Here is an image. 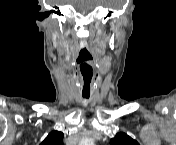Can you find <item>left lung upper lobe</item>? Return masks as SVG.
Segmentation results:
<instances>
[{"label": "left lung upper lobe", "instance_id": "left-lung-upper-lobe-1", "mask_svg": "<svg viewBox=\"0 0 176 145\" xmlns=\"http://www.w3.org/2000/svg\"><path fill=\"white\" fill-rule=\"evenodd\" d=\"M111 145H139L137 141L123 132H119L110 140Z\"/></svg>", "mask_w": 176, "mask_h": 145}]
</instances>
